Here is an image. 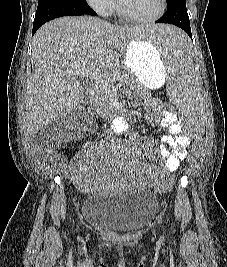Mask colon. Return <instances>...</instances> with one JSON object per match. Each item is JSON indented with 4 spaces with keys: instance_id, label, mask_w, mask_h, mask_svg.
Segmentation results:
<instances>
[{
    "instance_id": "colon-1",
    "label": "colon",
    "mask_w": 227,
    "mask_h": 267,
    "mask_svg": "<svg viewBox=\"0 0 227 267\" xmlns=\"http://www.w3.org/2000/svg\"><path fill=\"white\" fill-rule=\"evenodd\" d=\"M164 108L166 113L177 112L174 104H165ZM87 110L88 105L84 104L77 115V119L82 120L84 118L83 114ZM69 134L70 126L64 122L57 121L51 124L47 130L37 137V142L48 151H53L67 139ZM190 160H192V155H182V159L177 162L178 166H176L175 169H163V175L161 176L157 187H154V192H168L173 185V178H178L180 174H183V171L190 170Z\"/></svg>"
}]
</instances>
